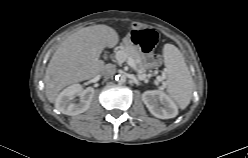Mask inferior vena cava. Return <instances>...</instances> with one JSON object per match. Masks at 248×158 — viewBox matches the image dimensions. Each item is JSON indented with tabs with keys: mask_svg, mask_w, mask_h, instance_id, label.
Segmentation results:
<instances>
[{
	"mask_svg": "<svg viewBox=\"0 0 248 158\" xmlns=\"http://www.w3.org/2000/svg\"><path fill=\"white\" fill-rule=\"evenodd\" d=\"M116 72V67L113 64H107L105 65L102 75L104 78H112Z\"/></svg>",
	"mask_w": 248,
	"mask_h": 158,
	"instance_id": "1",
	"label": "inferior vena cava"
}]
</instances>
